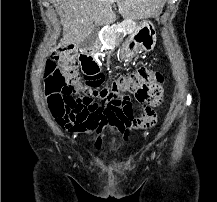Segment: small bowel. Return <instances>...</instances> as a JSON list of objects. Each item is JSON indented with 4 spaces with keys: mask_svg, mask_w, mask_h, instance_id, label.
<instances>
[{
    "mask_svg": "<svg viewBox=\"0 0 217 202\" xmlns=\"http://www.w3.org/2000/svg\"><path fill=\"white\" fill-rule=\"evenodd\" d=\"M92 66H97V64L95 65L93 63ZM79 88H84V90H99V91L94 93L93 97L101 98V94H102L101 90H104V85H84V83H79ZM130 104H131V102H130ZM140 116H156V115H155V113L154 114H144V108H143V111H142ZM128 139H129V135L126 133L124 136V140L128 141ZM102 140L103 141H110L111 137L110 136H103ZM92 141H97V136H92Z\"/></svg>",
    "mask_w": 217,
    "mask_h": 202,
    "instance_id": "c3829d8e",
    "label": "small bowel"
}]
</instances>
